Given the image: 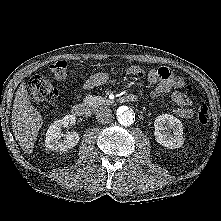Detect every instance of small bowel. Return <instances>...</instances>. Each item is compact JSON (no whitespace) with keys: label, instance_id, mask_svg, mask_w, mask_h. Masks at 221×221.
Returning a JSON list of instances; mask_svg holds the SVG:
<instances>
[{"label":"small bowel","instance_id":"small-bowel-1","mask_svg":"<svg viewBox=\"0 0 221 221\" xmlns=\"http://www.w3.org/2000/svg\"><path fill=\"white\" fill-rule=\"evenodd\" d=\"M128 73L131 75H144L141 68L137 66L130 67ZM147 79L155 87L152 94L155 96L171 93V100L175 106L172 107V112L185 119H189L193 116V110L191 108V100L181 90L185 87V81L183 78L175 76L170 69L161 67L159 69H152L147 73ZM110 78V74L105 71L97 72L91 75L85 82V89H94L105 84Z\"/></svg>","mask_w":221,"mask_h":221}]
</instances>
